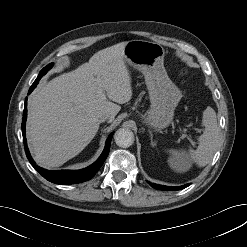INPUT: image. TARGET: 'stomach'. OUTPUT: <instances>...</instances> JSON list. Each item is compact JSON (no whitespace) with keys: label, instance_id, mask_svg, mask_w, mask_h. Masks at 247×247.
Returning a JSON list of instances; mask_svg holds the SVG:
<instances>
[{"label":"stomach","instance_id":"obj_1","mask_svg":"<svg viewBox=\"0 0 247 247\" xmlns=\"http://www.w3.org/2000/svg\"><path fill=\"white\" fill-rule=\"evenodd\" d=\"M164 54L159 43L145 40L128 41L124 48L125 62L144 75L149 92L151 106L142 115V120L156 129L165 128L172 122L174 110L182 97L167 75Z\"/></svg>","mask_w":247,"mask_h":247}]
</instances>
